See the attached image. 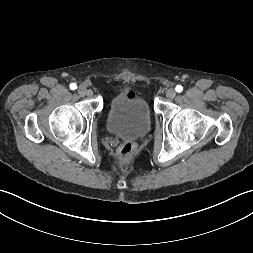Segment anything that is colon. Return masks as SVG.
I'll use <instances>...</instances> for the list:
<instances>
[{
    "label": "colon",
    "instance_id": "obj_1",
    "mask_svg": "<svg viewBox=\"0 0 253 253\" xmlns=\"http://www.w3.org/2000/svg\"><path fill=\"white\" fill-rule=\"evenodd\" d=\"M135 150V144L131 141L123 143L118 149V159L121 163H127Z\"/></svg>",
    "mask_w": 253,
    "mask_h": 253
}]
</instances>
